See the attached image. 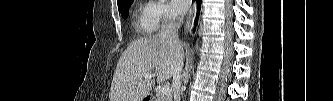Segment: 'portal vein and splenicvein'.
<instances>
[{
  "instance_id": "obj_1",
  "label": "portal vein and splenic vein",
  "mask_w": 333,
  "mask_h": 101,
  "mask_svg": "<svg viewBox=\"0 0 333 101\" xmlns=\"http://www.w3.org/2000/svg\"><path fill=\"white\" fill-rule=\"evenodd\" d=\"M150 77H151V75H148V74L145 75V79H148V78H150ZM160 92H161L163 95L169 94V93H170V88H169V86L164 85L163 87H161Z\"/></svg>"
}]
</instances>
